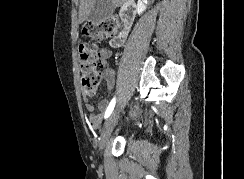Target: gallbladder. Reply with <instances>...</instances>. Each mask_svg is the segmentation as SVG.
<instances>
[{"label": "gallbladder", "instance_id": "gallbladder-1", "mask_svg": "<svg viewBox=\"0 0 244 179\" xmlns=\"http://www.w3.org/2000/svg\"><path fill=\"white\" fill-rule=\"evenodd\" d=\"M114 10L115 6H113L112 0H95L88 16V22L98 24L113 14Z\"/></svg>", "mask_w": 244, "mask_h": 179}]
</instances>
